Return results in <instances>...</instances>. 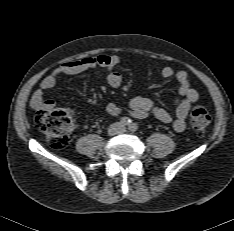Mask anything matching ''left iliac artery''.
I'll list each match as a JSON object with an SVG mask.
<instances>
[{
    "instance_id": "44dca946",
    "label": "left iliac artery",
    "mask_w": 234,
    "mask_h": 231,
    "mask_svg": "<svg viewBox=\"0 0 234 231\" xmlns=\"http://www.w3.org/2000/svg\"><path fill=\"white\" fill-rule=\"evenodd\" d=\"M137 129H138V126H137L136 123L130 124L129 130H130L131 132H135Z\"/></svg>"
}]
</instances>
